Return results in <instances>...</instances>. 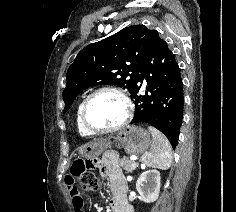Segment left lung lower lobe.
<instances>
[{"label": "left lung lower lobe", "instance_id": "1", "mask_svg": "<svg viewBox=\"0 0 236 212\" xmlns=\"http://www.w3.org/2000/svg\"><path fill=\"white\" fill-rule=\"evenodd\" d=\"M144 79L148 92L141 95ZM132 101L135 113L131 123H149L163 132L175 148L183 117V83L175 55L156 30L151 33L140 64Z\"/></svg>", "mask_w": 236, "mask_h": 212}]
</instances>
